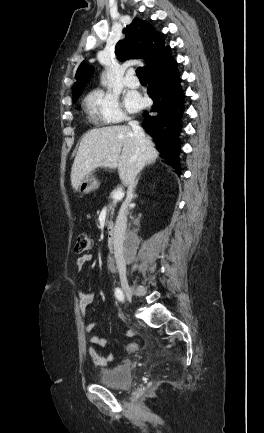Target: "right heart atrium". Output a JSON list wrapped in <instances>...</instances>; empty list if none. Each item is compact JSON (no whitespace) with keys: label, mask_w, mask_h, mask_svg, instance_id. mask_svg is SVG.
I'll return each instance as SVG.
<instances>
[{"label":"right heart atrium","mask_w":264,"mask_h":433,"mask_svg":"<svg viewBox=\"0 0 264 433\" xmlns=\"http://www.w3.org/2000/svg\"><path fill=\"white\" fill-rule=\"evenodd\" d=\"M91 117L102 124L120 123L128 120L117 95L100 89L93 90L86 99Z\"/></svg>","instance_id":"d8ad5b80"}]
</instances>
